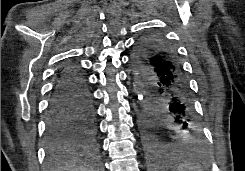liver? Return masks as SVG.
<instances>
[{
  "label": "liver",
  "mask_w": 245,
  "mask_h": 171,
  "mask_svg": "<svg viewBox=\"0 0 245 171\" xmlns=\"http://www.w3.org/2000/svg\"><path fill=\"white\" fill-rule=\"evenodd\" d=\"M60 171H92L89 168L78 166V165H66Z\"/></svg>",
  "instance_id": "1"
}]
</instances>
